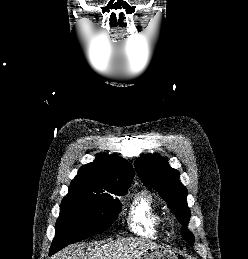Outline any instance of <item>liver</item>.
I'll use <instances>...</instances> for the list:
<instances>
[{
  "label": "liver",
  "instance_id": "liver-1",
  "mask_svg": "<svg viewBox=\"0 0 248 259\" xmlns=\"http://www.w3.org/2000/svg\"><path fill=\"white\" fill-rule=\"evenodd\" d=\"M155 244L140 238H122L86 250L83 244H75L60 251L54 259H136Z\"/></svg>",
  "mask_w": 248,
  "mask_h": 259
}]
</instances>
